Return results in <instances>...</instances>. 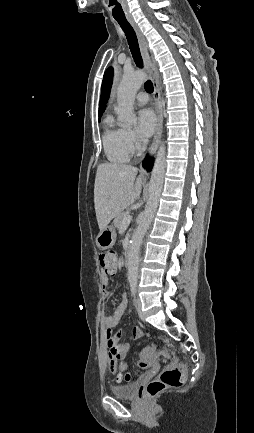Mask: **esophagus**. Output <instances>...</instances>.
<instances>
[{
	"mask_svg": "<svg viewBox=\"0 0 254 433\" xmlns=\"http://www.w3.org/2000/svg\"><path fill=\"white\" fill-rule=\"evenodd\" d=\"M128 21L130 22V24L132 25L133 29L136 32V35H137V38L139 41L141 54L143 57V61H144L145 67H146V69H147V71L151 77L153 87H154V101H155V109H156V113H157V126H156V131H155V135H154L152 144H151L150 149H149V155L152 156L160 144L161 135H162L163 116H162L160 89H159V83H158L159 73H158L157 67L151 61V57H150L148 49H147V43H146L145 37H144L143 33L141 32L139 26L137 25V23L132 18H128ZM141 175L142 176L147 175L146 171L142 167H141Z\"/></svg>",
	"mask_w": 254,
	"mask_h": 433,
	"instance_id": "esophagus-1",
	"label": "esophagus"
}]
</instances>
